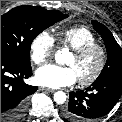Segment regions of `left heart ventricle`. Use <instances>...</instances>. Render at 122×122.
Listing matches in <instances>:
<instances>
[{"instance_id":"b2bd125f","label":"left heart ventricle","mask_w":122,"mask_h":122,"mask_svg":"<svg viewBox=\"0 0 122 122\" xmlns=\"http://www.w3.org/2000/svg\"><path fill=\"white\" fill-rule=\"evenodd\" d=\"M68 66H71L78 78H86L90 76L98 65V54L93 52L83 59H77L73 54L66 61Z\"/></svg>"}]
</instances>
